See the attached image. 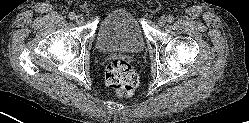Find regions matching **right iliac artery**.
<instances>
[{
	"label": "right iliac artery",
	"instance_id": "obj_1",
	"mask_svg": "<svg viewBox=\"0 0 249 123\" xmlns=\"http://www.w3.org/2000/svg\"><path fill=\"white\" fill-rule=\"evenodd\" d=\"M69 18H70L71 20H74V19L76 18V14H75L74 12H71V13L69 14Z\"/></svg>",
	"mask_w": 249,
	"mask_h": 123
}]
</instances>
